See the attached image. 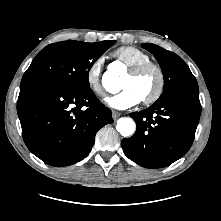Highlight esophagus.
<instances>
[{"instance_id":"esophagus-1","label":"esophagus","mask_w":221,"mask_h":221,"mask_svg":"<svg viewBox=\"0 0 221 221\" xmlns=\"http://www.w3.org/2000/svg\"><path fill=\"white\" fill-rule=\"evenodd\" d=\"M121 116V113L118 111H112V117L114 120L118 119Z\"/></svg>"}]
</instances>
